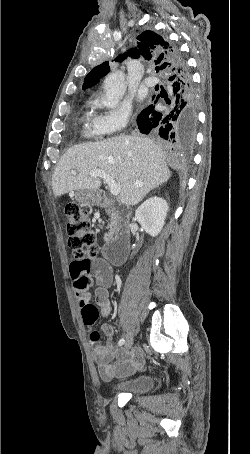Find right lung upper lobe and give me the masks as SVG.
Returning <instances> with one entry per match:
<instances>
[{
	"mask_svg": "<svg viewBox=\"0 0 250 454\" xmlns=\"http://www.w3.org/2000/svg\"><path fill=\"white\" fill-rule=\"evenodd\" d=\"M138 49H131L126 54L120 55L117 61H122L127 56L139 58L142 56L150 62H155L156 71L165 76L172 67L169 53V42L157 33L147 30L137 37ZM110 67L108 62L96 66L85 77L83 89H87L99 82L100 78L108 74Z\"/></svg>",
	"mask_w": 250,
	"mask_h": 454,
	"instance_id": "right-lung-upper-lobe-1",
	"label": "right lung upper lobe"
}]
</instances>
